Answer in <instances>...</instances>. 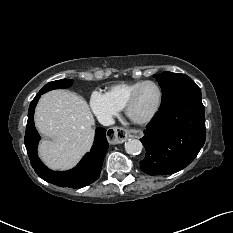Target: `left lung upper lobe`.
<instances>
[{
  "label": "left lung upper lobe",
  "instance_id": "1",
  "mask_svg": "<svg viewBox=\"0 0 233 233\" xmlns=\"http://www.w3.org/2000/svg\"><path fill=\"white\" fill-rule=\"evenodd\" d=\"M154 77L159 81L162 89L161 106L186 95L201 94L199 87L187 75L165 71L162 74L154 75Z\"/></svg>",
  "mask_w": 233,
  "mask_h": 233
}]
</instances>
